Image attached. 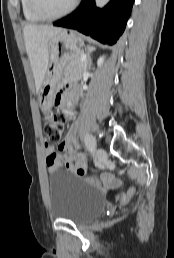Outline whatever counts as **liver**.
Instances as JSON below:
<instances>
[{
	"instance_id": "6515ba94",
	"label": "liver",
	"mask_w": 174,
	"mask_h": 258,
	"mask_svg": "<svg viewBox=\"0 0 174 258\" xmlns=\"http://www.w3.org/2000/svg\"><path fill=\"white\" fill-rule=\"evenodd\" d=\"M61 28L50 25L28 24L23 28L27 55L32 67L36 92L41 88L49 62V39L57 35Z\"/></svg>"
}]
</instances>
